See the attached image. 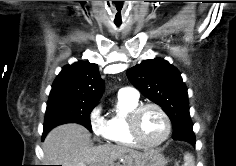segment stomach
<instances>
[{"label":"stomach","mask_w":236,"mask_h":166,"mask_svg":"<svg viewBox=\"0 0 236 166\" xmlns=\"http://www.w3.org/2000/svg\"><path fill=\"white\" fill-rule=\"evenodd\" d=\"M166 163L167 161L162 154H160L158 151L150 150L144 153V156L139 160V163L136 164L133 162L123 166H166Z\"/></svg>","instance_id":"stomach-1"}]
</instances>
